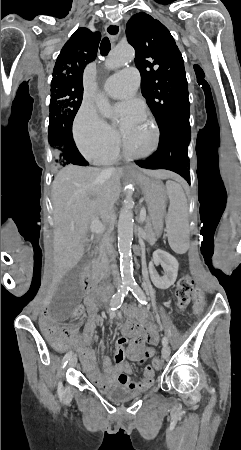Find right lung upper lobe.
Here are the masks:
<instances>
[{
    "instance_id": "obj_1",
    "label": "right lung upper lobe",
    "mask_w": 241,
    "mask_h": 450,
    "mask_svg": "<svg viewBox=\"0 0 241 450\" xmlns=\"http://www.w3.org/2000/svg\"><path fill=\"white\" fill-rule=\"evenodd\" d=\"M101 39L99 32L79 28L63 46L53 70L51 85L67 84L83 88V70L97 54Z\"/></svg>"
}]
</instances>
